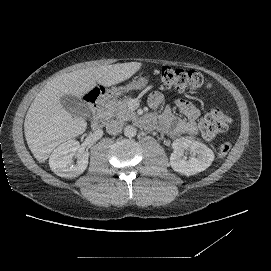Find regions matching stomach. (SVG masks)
<instances>
[{"instance_id": "1", "label": "stomach", "mask_w": 271, "mask_h": 271, "mask_svg": "<svg viewBox=\"0 0 271 271\" xmlns=\"http://www.w3.org/2000/svg\"><path fill=\"white\" fill-rule=\"evenodd\" d=\"M148 81H149L148 77H139L138 80L132 81L125 87L115 89L114 97H118L126 91L141 89L147 85Z\"/></svg>"}]
</instances>
